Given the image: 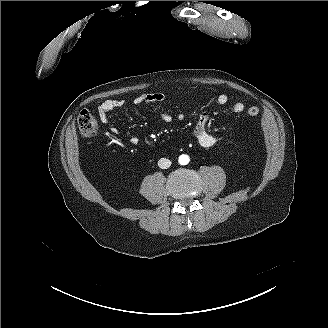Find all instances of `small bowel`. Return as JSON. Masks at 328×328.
I'll use <instances>...</instances> for the list:
<instances>
[{
    "label": "small bowel",
    "mask_w": 328,
    "mask_h": 328,
    "mask_svg": "<svg viewBox=\"0 0 328 328\" xmlns=\"http://www.w3.org/2000/svg\"><path fill=\"white\" fill-rule=\"evenodd\" d=\"M167 99H168V95L165 92H151V93H145L137 96L133 100V103L135 105H144V104L163 102ZM216 102L219 105H226L229 102V99L227 95L219 94L216 97ZM123 105H124V101L120 99H108L104 101L98 107V115L100 120L103 123H108L109 113L112 112L113 110L121 108ZM231 109L235 113H241L244 111L245 105L241 101H235L234 103H232ZM161 118L165 122H170L173 119L172 115L167 112H163L161 114ZM176 118L181 120L183 118V115L180 113L176 116ZM208 121H209V113L202 112L192 131V135L194 139L203 148L212 147L216 143V138L207 129ZM110 132L116 135L118 133V129L116 127H111ZM130 143L132 145H136L138 143V138L132 137L130 139Z\"/></svg>",
    "instance_id": "1"
}]
</instances>
